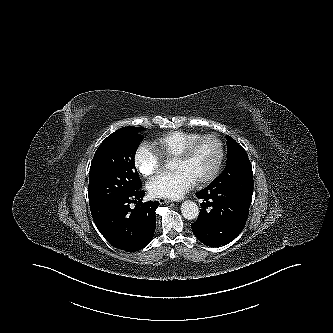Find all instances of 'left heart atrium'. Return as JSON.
Returning <instances> with one entry per match:
<instances>
[{
  "mask_svg": "<svg viewBox=\"0 0 333 333\" xmlns=\"http://www.w3.org/2000/svg\"><path fill=\"white\" fill-rule=\"evenodd\" d=\"M196 182L185 171L163 173L148 183L149 193L156 198L179 199L189 191Z\"/></svg>",
  "mask_w": 333,
  "mask_h": 333,
  "instance_id": "left-heart-atrium-1",
  "label": "left heart atrium"
}]
</instances>
